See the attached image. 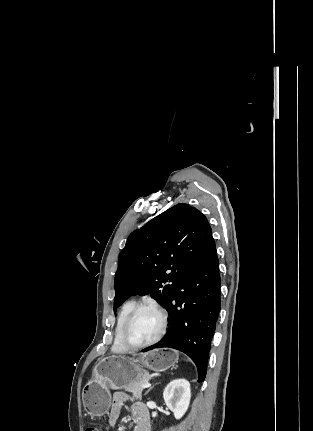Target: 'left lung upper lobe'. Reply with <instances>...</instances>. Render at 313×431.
Here are the masks:
<instances>
[{"instance_id": "obj_1", "label": "left lung upper lobe", "mask_w": 313, "mask_h": 431, "mask_svg": "<svg viewBox=\"0 0 313 431\" xmlns=\"http://www.w3.org/2000/svg\"><path fill=\"white\" fill-rule=\"evenodd\" d=\"M211 234L207 218L184 203L132 232L119 254L114 312L137 294H150L166 309Z\"/></svg>"}]
</instances>
